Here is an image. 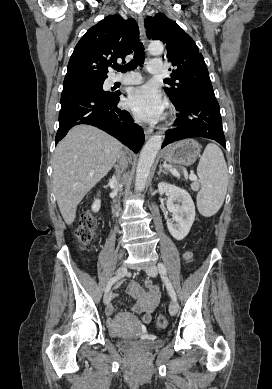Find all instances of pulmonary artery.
<instances>
[{"label":"pulmonary artery","mask_w":272,"mask_h":389,"mask_svg":"<svg viewBox=\"0 0 272 389\" xmlns=\"http://www.w3.org/2000/svg\"><path fill=\"white\" fill-rule=\"evenodd\" d=\"M147 70L151 74L161 73L162 62L160 60H151L148 64ZM114 82H119L122 84H139L142 82V77L139 73L133 72L126 75L115 77Z\"/></svg>","instance_id":"e3ab8cb5"}]
</instances>
